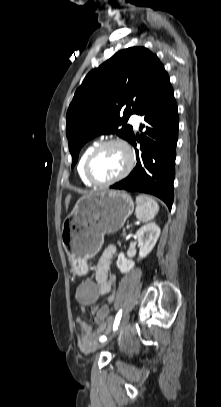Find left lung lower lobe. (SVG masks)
<instances>
[{
  "instance_id": "1",
  "label": "left lung lower lobe",
  "mask_w": 221,
  "mask_h": 407,
  "mask_svg": "<svg viewBox=\"0 0 221 407\" xmlns=\"http://www.w3.org/2000/svg\"><path fill=\"white\" fill-rule=\"evenodd\" d=\"M138 115L144 117L147 126L146 132L137 138L141 153L136 151V167L128 177L110 188L152 194L171 209L179 121L169 76L162 79ZM130 143L136 147L135 136Z\"/></svg>"
}]
</instances>
